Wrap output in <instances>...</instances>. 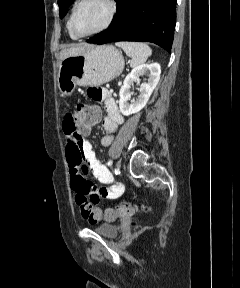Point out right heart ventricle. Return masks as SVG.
I'll use <instances>...</instances> for the list:
<instances>
[{
	"label": "right heart ventricle",
	"instance_id": "1",
	"mask_svg": "<svg viewBox=\"0 0 240 288\" xmlns=\"http://www.w3.org/2000/svg\"><path fill=\"white\" fill-rule=\"evenodd\" d=\"M67 30H68V33H69V36L72 38V39H77V37L71 32L70 28H69V20L67 22Z\"/></svg>",
	"mask_w": 240,
	"mask_h": 288
}]
</instances>
